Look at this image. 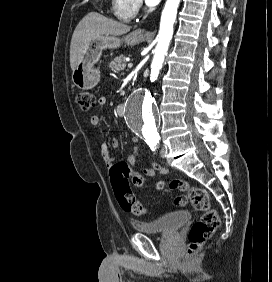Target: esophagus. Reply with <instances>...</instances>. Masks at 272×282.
<instances>
[{
  "label": "esophagus",
  "mask_w": 272,
  "mask_h": 282,
  "mask_svg": "<svg viewBox=\"0 0 272 282\" xmlns=\"http://www.w3.org/2000/svg\"><path fill=\"white\" fill-rule=\"evenodd\" d=\"M138 32L139 33H146V30L145 29H139Z\"/></svg>",
  "instance_id": "obj_1"
}]
</instances>
